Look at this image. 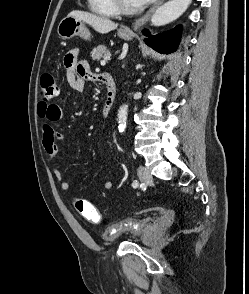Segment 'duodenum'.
Listing matches in <instances>:
<instances>
[{
    "mask_svg": "<svg viewBox=\"0 0 249 294\" xmlns=\"http://www.w3.org/2000/svg\"><path fill=\"white\" fill-rule=\"evenodd\" d=\"M98 81L104 84L106 88L105 100L101 109V115L105 119L110 115L116 100V83L112 76L107 73L99 74Z\"/></svg>",
    "mask_w": 249,
    "mask_h": 294,
    "instance_id": "410a0bca",
    "label": "duodenum"
}]
</instances>
